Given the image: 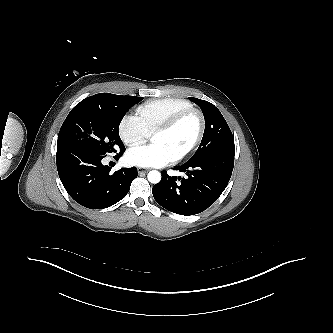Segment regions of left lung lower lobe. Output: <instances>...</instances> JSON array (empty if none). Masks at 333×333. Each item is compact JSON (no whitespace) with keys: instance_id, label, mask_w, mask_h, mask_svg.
<instances>
[{"instance_id":"0a47b994","label":"left lung lower lobe","mask_w":333,"mask_h":333,"mask_svg":"<svg viewBox=\"0 0 333 333\" xmlns=\"http://www.w3.org/2000/svg\"><path fill=\"white\" fill-rule=\"evenodd\" d=\"M234 166V156L215 155L187 161L175 170L188 178L168 176L154 185V199L165 209L180 215H195L210 207L225 190ZM179 180V181H178Z\"/></svg>"}]
</instances>
